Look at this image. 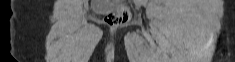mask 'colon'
<instances>
[{
    "label": "colon",
    "instance_id": "5ec220e1",
    "mask_svg": "<svg viewBox=\"0 0 235 62\" xmlns=\"http://www.w3.org/2000/svg\"><path fill=\"white\" fill-rule=\"evenodd\" d=\"M130 19V11L127 7L122 6L108 14L106 21L110 26H120L127 23Z\"/></svg>",
    "mask_w": 235,
    "mask_h": 62
}]
</instances>
